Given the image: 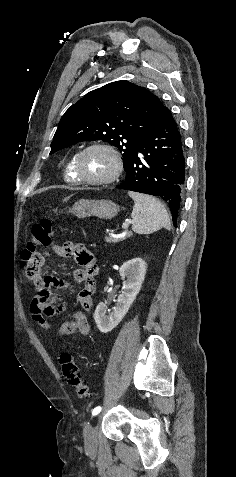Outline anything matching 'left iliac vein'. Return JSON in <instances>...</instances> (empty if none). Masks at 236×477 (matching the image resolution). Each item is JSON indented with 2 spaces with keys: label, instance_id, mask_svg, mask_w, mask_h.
Instances as JSON below:
<instances>
[{
  "label": "left iliac vein",
  "instance_id": "4c4485c4",
  "mask_svg": "<svg viewBox=\"0 0 236 477\" xmlns=\"http://www.w3.org/2000/svg\"><path fill=\"white\" fill-rule=\"evenodd\" d=\"M102 412H97L94 415V424L98 425L101 422ZM97 437H98V429L93 425H87L84 428V443L85 447L88 450H93L97 448Z\"/></svg>",
  "mask_w": 236,
  "mask_h": 477
}]
</instances>
